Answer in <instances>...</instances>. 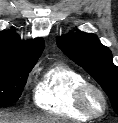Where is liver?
Wrapping results in <instances>:
<instances>
[{
  "mask_svg": "<svg viewBox=\"0 0 118 123\" xmlns=\"http://www.w3.org/2000/svg\"><path fill=\"white\" fill-rule=\"evenodd\" d=\"M0 123H68V122L62 118L48 114L24 115L15 112L0 111Z\"/></svg>",
  "mask_w": 118,
  "mask_h": 123,
  "instance_id": "1",
  "label": "liver"
}]
</instances>
